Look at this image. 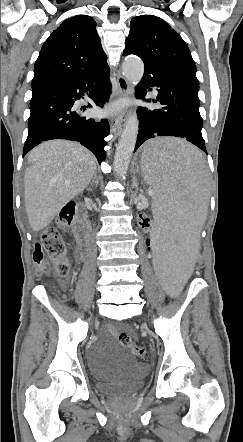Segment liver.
I'll return each instance as SVG.
<instances>
[{"label":"liver","mask_w":243,"mask_h":442,"mask_svg":"<svg viewBox=\"0 0 243 442\" xmlns=\"http://www.w3.org/2000/svg\"><path fill=\"white\" fill-rule=\"evenodd\" d=\"M24 176L25 208L30 226L38 232L90 183L95 156L77 142L50 140L28 155Z\"/></svg>","instance_id":"6515ba94"}]
</instances>
